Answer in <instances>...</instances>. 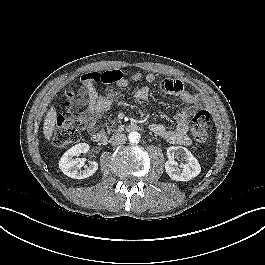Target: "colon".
<instances>
[{
	"label": "colon",
	"mask_w": 265,
	"mask_h": 265,
	"mask_svg": "<svg viewBox=\"0 0 265 265\" xmlns=\"http://www.w3.org/2000/svg\"><path fill=\"white\" fill-rule=\"evenodd\" d=\"M117 72H96L91 74L95 82L112 83L116 80ZM83 107L79 103L73 91L66 93L64 110L56 119V127L53 134V144L58 148L77 143L80 140V130L84 126ZM191 133L194 139L200 143L209 140L211 120L208 111L199 110L191 121Z\"/></svg>",
	"instance_id": "obj_1"
}]
</instances>
